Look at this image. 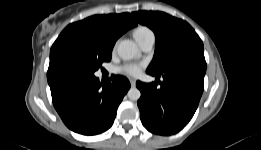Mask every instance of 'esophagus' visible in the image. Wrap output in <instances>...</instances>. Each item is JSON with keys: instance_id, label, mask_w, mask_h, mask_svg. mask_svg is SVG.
<instances>
[{"instance_id": "esophagus-1", "label": "esophagus", "mask_w": 261, "mask_h": 150, "mask_svg": "<svg viewBox=\"0 0 261 150\" xmlns=\"http://www.w3.org/2000/svg\"><path fill=\"white\" fill-rule=\"evenodd\" d=\"M130 80V84H131V86L132 87H135V85H136V80L135 79H129Z\"/></svg>"}]
</instances>
